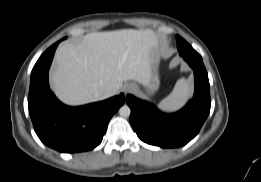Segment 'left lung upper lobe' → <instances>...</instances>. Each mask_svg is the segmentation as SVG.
<instances>
[{
    "label": "left lung upper lobe",
    "mask_w": 261,
    "mask_h": 182,
    "mask_svg": "<svg viewBox=\"0 0 261 182\" xmlns=\"http://www.w3.org/2000/svg\"><path fill=\"white\" fill-rule=\"evenodd\" d=\"M177 48L181 56H198L199 54L180 36H176Z\"/></svg>",
    "instance_id": "5c2ea615"
}]
</instances>
